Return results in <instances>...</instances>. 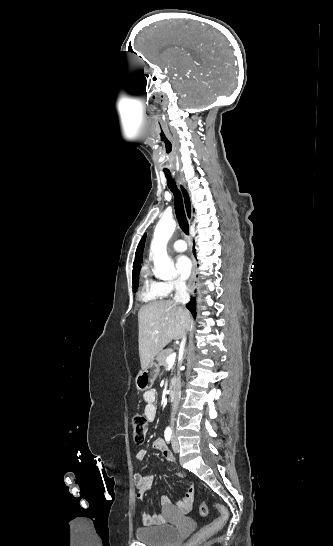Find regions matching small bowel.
<instances>
[{"label": "small bowel", "mask_w": 333, "mask_h": 546, "mask_svg": "<svg viewBox=\"0 0 333 546\" xmlns=\"http://www.w3.org/2000/svg\"><path fill=\"white\" fill-rule=\"evenodd\" d=\"M157 392L153 389L146 391L143 394V400L145 402V417L148 421L152 422L157 416V406H156ZM153 447L156 448L162 455L163 459L171 465L176 464V459L174 455L167 449L164 441L162 439H156L153 442ZM147 451L145 449H140L136 453V459L138 461H143L146 457ZM178 478H182L183 474L176 472ZM133 481L136 488V497L140 501L145 500V493L151 487L153 483L152 475H143L140 473H135L133 475ZM162 513L157 514H141V521L145 526H158L166 523L167 513L173 511L175 508L182 514H188L193 508L194 501V489L189 488L183 495V497L173 505L170 499L167 496H162L161 499Z\"/></svg>", "instance_id": "obj_1"}]
</instances>
